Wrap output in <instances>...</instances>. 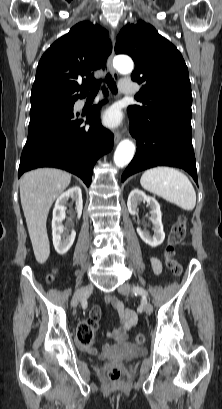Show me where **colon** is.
<instances>
[{
    "instance_id": "obj_1",
    "label": "colon",
    "mask_w": 222,
    "mask_h": 409,
    "mask_svg": "<svg viewBox=\"0 0 222 409\" xmlns=\"http://www.w3.org/2000/svg\"><path fill=\"white\" fill-rule=\"evenodd\" d=\"M186 219L185 217H180L177 222L172 226L171 231L168 236L167 245L164 250V257L167 268L175 276H180L182 273V267L180 263L174 258L175 246L181 243L186 234ZM48 281L54 279V274L51 273L47 277ZM97 326L89 320L81 322L76 331V337L79 343L89 344L94 338L95 330ZM145 341V337L142 333H138L135 336V342L142 344ZM108 377L112 382H119L122 379L121 370L118 366H112L108 371Z\"/></svg>"
}]
</instances>
